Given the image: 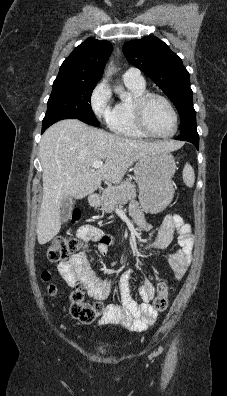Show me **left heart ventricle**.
I'll use <instances>...</instances> for the list:
<instances>
[{"label":"left heart ventricle","instance_id":"1","mask_svg":"<svg viewBox=\"0 0 227 396\" xmlns=\"http://www.w3.org/2000/svg\"><path fill=\"white\" fill-rule=\"evenodd\" d=\"M149 128L158 134H168L174 128V119L167 105L158 98H152L145 111Z\"/></svg>","mask_w":227,"mask_h":396}]
</instances>
